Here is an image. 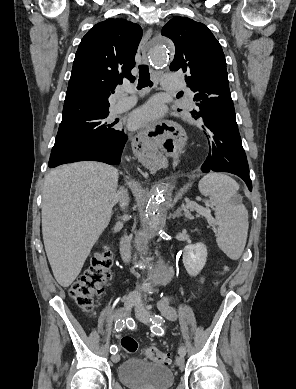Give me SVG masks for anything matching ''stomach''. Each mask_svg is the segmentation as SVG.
<instances>
[{"label":"stomach","mask_w":296,"mask_h":389,"mask_svg":"<svg viewBox=\"0 0 296 389\" xmlns=\"http://www.w3.org/2000/svg\"><path fill=\"white\" fill-rule=\"evenodd\" d=\"M153 172H154V173H157V172H158V169H153Z\"/></svg>","instance_id":"0dacf381"}]
</instances>
